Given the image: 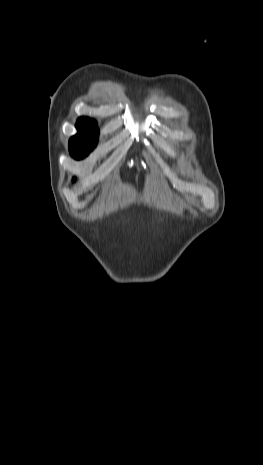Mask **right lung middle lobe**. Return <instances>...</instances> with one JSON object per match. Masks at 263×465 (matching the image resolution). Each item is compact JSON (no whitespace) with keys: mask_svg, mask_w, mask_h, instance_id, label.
Masks as SVG:
<instances>
[{"mask_svg":"<svg viewBox=\"0 0 263 465\" xmlns=\"http://www.w3.org/2000/svg\"><path fill=\"white\" fill-rule=\"evenodd\" d=\"M78 133L69 140V151L74 159H83L96 146L99 130L96 123L77 121Z\"/></svg>","mask_w":263,"mask_h":465,"instance_id":"1","label":"right lung middle lobe"}]
</instances>
